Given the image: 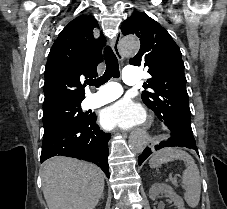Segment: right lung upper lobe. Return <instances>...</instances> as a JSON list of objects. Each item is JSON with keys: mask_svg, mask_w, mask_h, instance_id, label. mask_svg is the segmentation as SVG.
<instances>
[{"mask_svg": "<svg viewBox=\"0 0 227 209\" xmlns=\"http://www.w3.org/2000/svg\"><path fill=\"white\" fill-rule=\"evenodd\" d=\"M98 26L92 16H78L59 34L45 67L44 105L85 98L84 79L96 77L97 65L103 61L105 37L95 39Z\"/></svg>", "mask_w": 227, "mask_h": 209, "instance_id": "obj_1", "label": "right lung upper lobe"}]
</instances>
